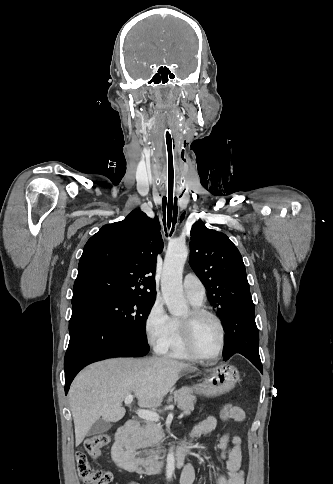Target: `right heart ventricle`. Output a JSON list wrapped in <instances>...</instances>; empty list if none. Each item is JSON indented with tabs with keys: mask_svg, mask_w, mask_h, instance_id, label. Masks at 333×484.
I'll list each match as a JSON object with an SVG mask.
<instances>
[{
	"mask_svg": "<svg viewBox=\"0 0 333 484\" xmlns=\"http://www.w3.org/2000/svg\"><path fill=\"white\" fill-rule=\"evenodd\" d=\"M190 302L194 307H201L202 305V303H196L192 300H190ZM160 353L173 359H195L191 356L184 345L181 335L180 319L175 317L171 318L169 337L164 349Z\"/></svg>",
	"mask_w": 333,
	"mask_h": 484,
	"instance_id": "obj_1",
	"label": "right heart ventricle"
}]
</instances>
